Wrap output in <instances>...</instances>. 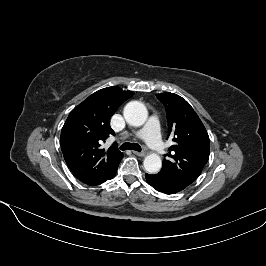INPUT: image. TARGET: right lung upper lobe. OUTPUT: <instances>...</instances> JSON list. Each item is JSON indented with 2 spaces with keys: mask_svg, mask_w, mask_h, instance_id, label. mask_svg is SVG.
I'll return each mask as SVG.
<instances>
[{
  "mask_svg": "<svg viewBox=\"0 0 266 266\" xmlns=\"http://www.w3.org/2000/svg\"><path fill=\"white\" fill-rule=\"evenodd\" d=\"M133 94L116 86L107 87L70 112L61 130V149L70 170L81 182L94 185L118 167L123 153L116 144L108 150L102 149L101 144L114 134L110 118Z\"/></svg>",
  "mask_w": 266,
  "mask_h": 266,
  "instance_id": "1",
  "label": "right lung upper lobe"
}]
</instances>
